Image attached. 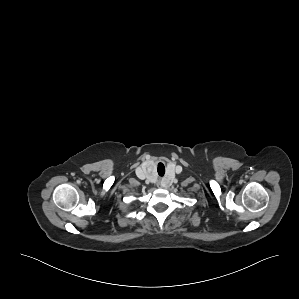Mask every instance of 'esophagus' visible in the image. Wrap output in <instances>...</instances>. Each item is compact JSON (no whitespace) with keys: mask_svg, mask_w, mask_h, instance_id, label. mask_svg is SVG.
<instances>
[{"mask_svg":"<svg viewBox=\"0 0 299 299\" xmlns=\"http://www.w3.org/2000/svg\"><path fill=\"white\" fill-rule=\"evenodd\" d=\"M159 185L162 186V182H160Z\"/></svg>","mask_w":299,"mask_h":299,"instance_id":"34e87169","label":"esophagus"}]
</instances>
